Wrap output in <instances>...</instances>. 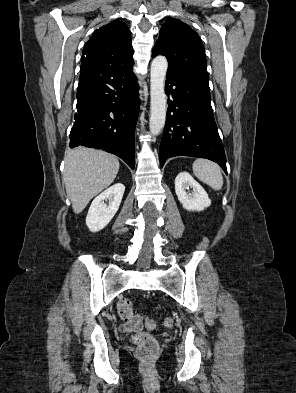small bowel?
<instances>
[{"label": "small bowel", "instance_id": "c3829d8e", "mask_svg": "<svg viewBox=\"0 0 296 393\" xmlns=\"http://www.w3.org/2000/svg\"><path fill=\"white\" fill-rule=\"evenodd\" d=\"M142 329V323L139 316L132 315L129 319L120 325L122 332H136Z\"/></svg>", "mask_w": 296, "mask_h": 393}]
</instances>
